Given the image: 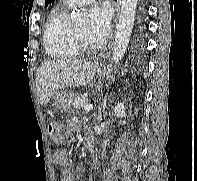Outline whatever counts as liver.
Instances as JSON below:
<instances>
[{"mask_svg": "<svg viewBox=\"0 0 197 181\" xmlns=\"http://www.w3.org/2000/svg\"><path fill=\"white\" fill-rule=\"evenodd\" d=\"M97 71L91 62L77 59L47 61L38 68L36 94L41 105L65 87H79L89 83Z\"/></svg>", "mask_w": 197, "mask_h": 181, "instance_id": "obj_1", "label": "liver"}]
</instances>
